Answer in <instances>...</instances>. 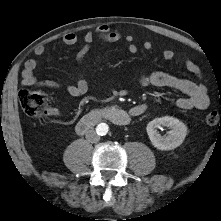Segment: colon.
<instances>
[{
  "label": "colon",
  "instance_id": "obj_1",
  "mask_svg": "<svg viewBox=\"0 0 221 221\" xmlns=\"http://www.w3.org/2000/svg\"><path fill=\"white\" fill-rule=\"evenodd\" d=\"M19 103L22 110L31 117H43L51 111L49 98L41 92L21 90L19 93ZM206 123L210 126L221 124V115L216 111H211L206 115Z\"/></svg>",
  "mask_w": 221,
  "mask_h": 221
}]
</instances>
